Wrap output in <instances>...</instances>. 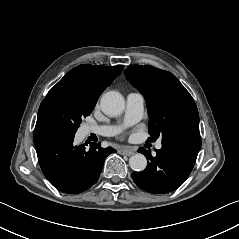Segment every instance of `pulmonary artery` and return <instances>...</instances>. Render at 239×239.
Listing matches in <instances>:
<instances>
[{"instance_id":"e3ab8cb5","label":"pulmonary artery","mask_w":239,"mask_h":239,"mask_svg":"<svg viewBox=\"0 0 239 239\" xmlns=\"http://www.w3.org/2000/svg\"><path fill=\"white\" fill-rule=\"evenodd\" d=\"M144 96L140 92L132 91L126 97L125 121L127 125L134 124L141 120L144 110ZM119 129L111 125H87L85 133H95L101 136H113L117 134ZM161 139L156 144L157 149H161Z\"/></svg>"}]
</instances>
